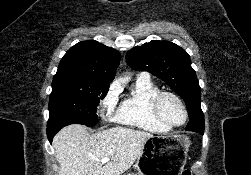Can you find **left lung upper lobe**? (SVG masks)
Masks as SVG:
<instances>
[{
	"label": "left lung upper lobe",
	"instance_id": "obj_1",
	"mask_svg": "<svg viewBox=\"0 0 251 175\" xmlns=\"http://www.w3.org/2000/svg\"><path fill=\"white\" fill-rule=\"evenodd\" d=\"M126 62L134 70L148 71L165 81L185 101L187 109L202 111L201 88L190 56L175 43L152 40L136 46L127 52ZM186 130L203 134L204 117L188 122Z\"/></svg>",
	"mask_w": 251,
	"mask_h": 175
}]
</instances>
